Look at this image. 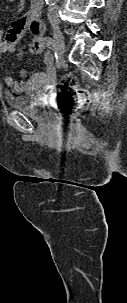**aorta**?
<instances>
[{
	"label": "aorta",
	"mask_w": 127,
	"mask_h": 303,
	"mask_svg": "<svg viewBox=\"0 0 127 303\" xmlns=\"http://www.w3.org/2000/svg\"><path fill=\"white\" fill-rule=\"evenodd\" d=\"M49 4H52L55 0H46Z\"/></svg>",
	"instance_id": "obj_1"
}]
</instances>
